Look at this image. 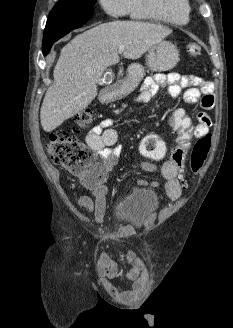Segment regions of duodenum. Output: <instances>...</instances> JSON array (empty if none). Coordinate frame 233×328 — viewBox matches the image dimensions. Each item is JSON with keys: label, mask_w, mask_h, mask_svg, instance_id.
Returning <instances> with one entry per match:
<instances>
[{"label": "duodenum", "mask_w": 233, "mask_h": 328, "mask_svg": "<svg viewBox=\"0 0 233 328\" xmlns=\"http://www.w3.org/2000/svg\"><path fill=\"white\" fill-rule=\"evenodd\" d=\"M114 94H115L114 88L111 87L105 88L101 92V100L104 102H108L114 97Z\"/></svg>", "instance_id": "1"}]
</instances>
